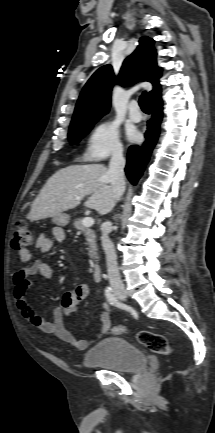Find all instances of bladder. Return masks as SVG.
<instances>
[{
	"label": "bladder",
	"instance_id": "1",
	"mask_svg": "<svg viewBox=\"0 0 215 433\" xmlns=\"http://www.w3.org/2000/svg\"><path fill=\"white\" fill-rule=\"evenodd\" d=\"M87 367H106L118 373H134L147 365L145 353L136 345L119 337H107L84 355Z\"/></svg>",
	"mask_w": 215,
	"mask_h": 433
}]
</instances>
